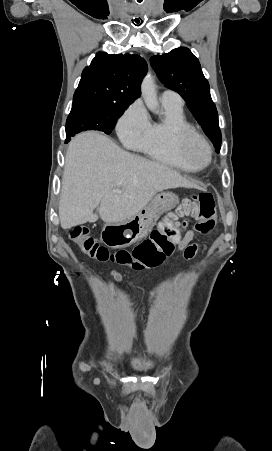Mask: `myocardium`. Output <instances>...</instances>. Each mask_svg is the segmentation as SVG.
<instances>
[{
    "label": "myocardium",
    "mask_w": 272,
    "mask_h": 451,
    "mask_svg": "<svg viewBox=\"0 0 272 451\" xmlns=\"http://www.w3.org/2000/svg\"><path fill=\"white\" fill-rule=\"evenodd\" d=\"M171 139L178 145L180 160L187 172H200L204 167H208L212 164V147L200 133L188 128L175 127L171 130ZM194 145L201 146L207 154V163L204 167H197L192 162L190 150Z\"/></svg>",
    "instance_id": "obj_1"
}]
</instances>
